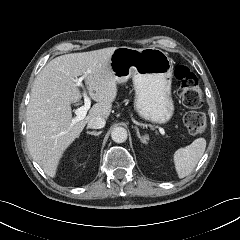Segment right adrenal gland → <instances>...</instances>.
<instances>
[{"instance_id":"obj_1","label":"right adrenal gland","mask_w":240,"mask_h":240,"mask_svg":"<svg viewBox=\"0 0 240 240\" xmlns=\"http://www.w3.org/2000/svg\"><path fill=\"white\" fill-rule=\"evenodd\" d=\"M101 133H102V131H98V132H96V131H92V132L87 131V134L94 135V136H99Z\"/></svg>"}]
</instances>
